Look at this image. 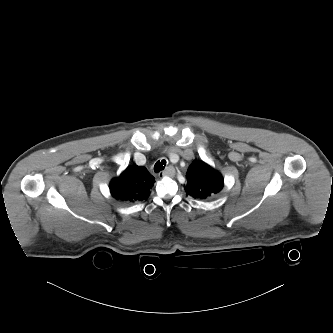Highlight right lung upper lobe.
I'll list each match as a JSON object with an SVG mask.
<instances>
[{
	"mask_svg": "<svg viewBox=\"0 0 333 333\" xmlns=\"http://www.w3.org/2000/svg\"><path fill=\"white\" fill-rule=\"evenodd\" d=\"M154 177L145 167H127L119 177L113 178L109 188L111 195L120 201L136 202L147 200L154 185Z\"/></svg>",
	"mask_w": 333,
	"mask_h": 333,
	"instance_id": "obj_1",
	"label": "right lung upper lobe"
}]
</instances>
